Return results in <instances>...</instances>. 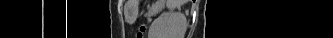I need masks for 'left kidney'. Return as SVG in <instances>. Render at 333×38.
<instances>
[{
  "label": "left kidney",
  "instance_id": "1",
  "mask_svg": "<svg viewBox=\"0 0 333 38\" xmlns=\"http://www.w3.org/2000/svg\"><path fill=\"white\" fill-rule=\"evenodd\" d=\"M187 19L181 12L161 14L149 29V38H184Z\"/></svg>",
  "mask_w": 333,
  "mask_h": 38
}]
</instances>
